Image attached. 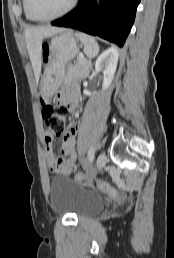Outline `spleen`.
I'll list each match as a JSON object with an SVG mask.
<instances>
[{
	"label": "spleen",
	"mask_w": 174,
	"mask_h": 258,
	"mask_svg": "<svg viewBox=\"0 0 174 258\" xmlns=\"http://www.w3.org/2000/svg\"><path fill=\"white\" fill-rule=\"evenodd\" d=\"M75 35L83 43L84 53L89 59L98 55L99 45L93 37L81 32H77Z\"/></svg>",
	"instance_id": "obj_1"
}]
</instances>
